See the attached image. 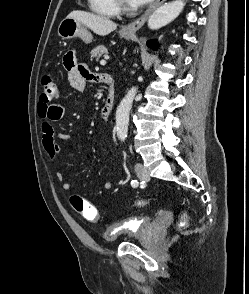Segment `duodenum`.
Returning <instances> with one entry per match:
<instances>
[{
    "mask_svg": "<svg viewBox=\"0 0 249 294\" xmlns=\"http://www.w3.org/2000/svg\"><path fill=\"white\" fill-rule=\"evenodd\" d=\"M99 82L108 86V95L101 109L100 116L103 121H107L112 113L115 100V89L113 82L108 74H99Z\"/></svg>",
    "mask_w": 249,
    "mask_h": 294,
    "instance_id": "1",
    "label": "duodenum"
}]
</instances>
